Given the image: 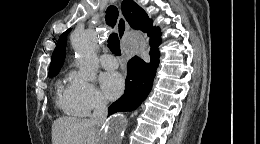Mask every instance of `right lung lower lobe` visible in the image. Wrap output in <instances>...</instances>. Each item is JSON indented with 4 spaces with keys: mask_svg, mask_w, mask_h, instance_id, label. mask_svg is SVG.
I'll list each match as a JSON object with an SVG mask.
<instances>
[{
    "mask_svg": "<svg viewBox=\"0 0 260 144\" xmlns=\"http://www.w3.org/2000/svg\"><path fill=\"white\" fill-rule=\"evenodd\" d=\"M159 43L151 45L150 63L133 57L127 65L125 93L108 109L109 115L119 111H131L141 105L151 91L156 69L159 65Z\"/></svg>",
    "mask_w": 260,
    "mask_h": 144,
    "instance_id": "98d812e1",
    "label": "right lung lower lobe"
}]
</instances>
